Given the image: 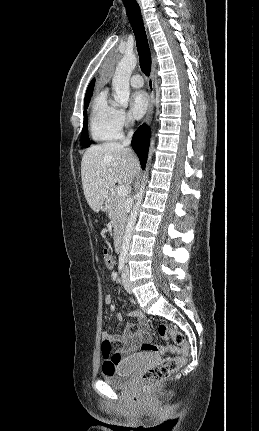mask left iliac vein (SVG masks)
Returning <instances> with one entry per match:
<instances>
[{"mask_svg": "<svg viewBox=\"0 0 259 431\" xmlns=\"http://www.w3.org/2000/svg\"><path fill=\"white\" fill-rule=\"evenodd\" d=\"M122 283L128 293H132V287L129 281V267L126 265L122 273Z\"/></svg>", "mask_w": 259, "mask_h": 431, "instance_id": "1", "label": "left iliac vein"}]
</instances>
